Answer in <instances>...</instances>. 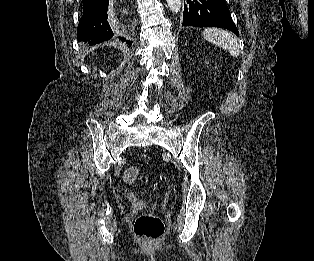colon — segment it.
I'll list each match as a JSON object with an SVG mask.
<instances>
[{"label": "colon", "instance_id": "1", "mask_svg": "<svg viewBox=\"0 0 314 261\" xmlns=\"http://www.w3.org/2000/svg\"><path fill=\"white\" fill-rule=\"evenodd\" d=\"M123 179L126 183L139 182L143 186L149 183L147 176L141 174L137 168L129 167L124 171ZM134 233L142 240L152 243L158 241L164 234L163 221L153 213H143L134 223Z\"/></svg>", "mask_w": 314, "mask_h": 261}]
</instances>
